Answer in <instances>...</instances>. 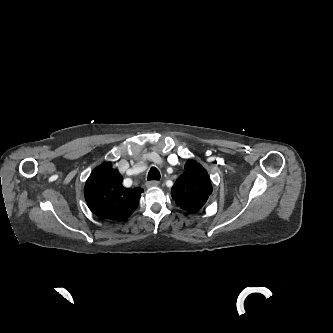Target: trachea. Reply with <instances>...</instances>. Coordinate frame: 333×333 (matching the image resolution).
<instances>
[{"label":"trachea","instance_id":"3493384b","mask_svg":"<svg viewBox=\"0 0 333 333\" xmlns=\"http://www.w3.org/2000/svg\"><path fill=\"white\" fill-rule=\"evenodd\" d=\"M160 179V172L156 167H151L150 171L148 172L147 180H159Z\"/></svg>","mask_w":333,"mask_h":333}]
</instances>
